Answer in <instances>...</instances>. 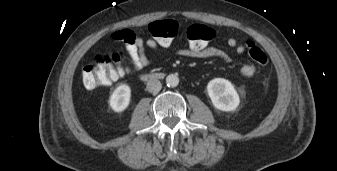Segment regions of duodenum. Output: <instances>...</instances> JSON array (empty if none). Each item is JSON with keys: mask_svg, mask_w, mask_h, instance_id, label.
Segmentation results:
<instances>
[{"mask_svg": "<svg viewBox=\"0 0 337 171\" xmlns=\"http://www.w3.org/2000/svg\"><path fill=\"white\" fill-rule=\"evenodd\" d=\"M144 78H145V80H157V79H160V75H158V74H145Z\"/></svg>", "mask_w": 337, "mask_h": 171, "instance_id": "duodenum-1", "label": "duodenum"}]
</instances>
